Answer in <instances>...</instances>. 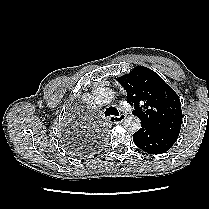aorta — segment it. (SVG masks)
Instances as JSON below:
<instances>
[{"mask_svg":"<svg viewBox=\"0 0 209 209\" xmlns=\"http://www.w3.org/2000/svg\"><path fill=\"white\" fill-rule=\"evenodd\" d=\"M115 96V92L107 87L97 88L92 92V99L95 103L103 105L109 104ZM124 127L130 132H137L141 128V120L134 115L124 119Z\"/></svg>","mask_w":209,"mask_h":209,"instance_id":"aorta-1","label":"aorta"}]
</instances>
